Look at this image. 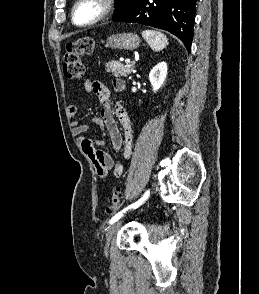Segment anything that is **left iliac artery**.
<instances>
[{"instance_id": "44dca946", "label": "left iliac artery", "mask_w": 259, "mask_h": 294, "mask_svg": "<svg viewBox=\"0 0 259 294\" xmlns=\"http://www.w3.org/2000/svg\"><path fill=\"white\" fill-rule=\"evenodd\" d=\"M149 194H150V191L147 190L144 195L135 203L127 206L126 208H124L123 210H121L120 212H118L117 214H115L109 221V224H113L115 223L116 221H118L122 215L128 211L129 209H132V208H138L140 205H142L149 197Z\"/></svg>"}]
</instances>
